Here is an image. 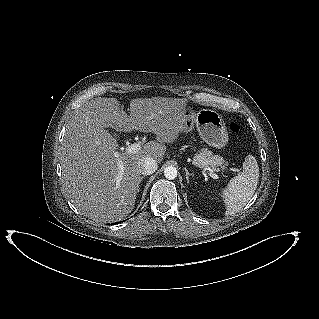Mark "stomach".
Here are the masks:
<instances>
[{"mask_svg":"<svg viewBox=\"0 0 319 319\" xmlns=\"http://www.w3.org/2000/svg\"><path fill=\"white\" fill-rule=\"evenodd\" d=\"M182 131L190 132L195 125L201 138L210 146L221 148L228 142V132L221 115L211 109L195 110L186 105L181 118Z\"/></svg>","mask_w":319,"mask_h":319,"instance_id":"0dacf381","label":"stomach"}]
</instances>
